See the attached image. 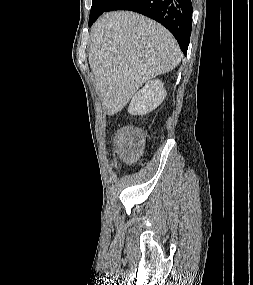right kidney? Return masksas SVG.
<instances>
[{"label":"right kidney","mask_w":253,"mask_h":285,"mask_svg":"<svg viewBox=\"0 0 253 285\" xmlns=\"http://www.w3.org/2000/svg\"><path fill=\"white\" fill-rule=\"evenodd\" d=\"M166 95L167 92L161 80H150L133 96L128 112L132 115H145L155 110L163 102Z\"/></svg>","instance_id":"ca27d5eb"}]
</instances>
